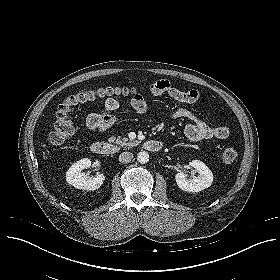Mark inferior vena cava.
<instances>
[{"mask_svg":"<svg viewBox=\"0 0 280 280\" xmlns=\"http://www.w3.org/2000/svg\"><path fill=\"white\" fill-rule=\"evenodd\" d=\"M133 159V154L131 152H122L119 155V161L121 163H129Z\"/></svg>","mask_w":280,"mask_h":280,"instance_id":"inferior-vena-cava-1","label":"inferior vena cava"}]
</instances>
